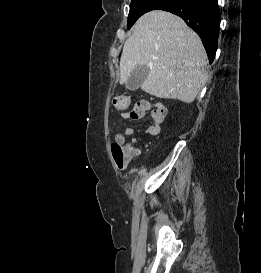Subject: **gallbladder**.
Here are the masks:
<instances>
[{"mask_svg": "<svg viewBox=\"0 0 261 273\" xmlns=\"http://www.w3.org/2000/svg\"><path fill=\"white\" fill-rule=\"evenodd\" d=\"M149 74V67L144 65H137L132 71L130 77L125 83V88L130 91H135L140 88Z\"/></svg>", "mask_w": 261, "mask_h": 273, "instance_id": "obj_1", "label": "gallbladder"}]
</instances>
